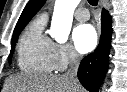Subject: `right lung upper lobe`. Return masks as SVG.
<instances>
[{
    "label": "right lung upper lobe",
    "instance_id": "obj_1",
    "mask_svg": "<svg viewBox=\"0 0 127 92\" xmlns=\"http://www.w3.org/2000/svg\"><path fill=\"white\" fill-rule=\"evenodd\" d=\"M44 3L45 0H30L17 22L14 33L20 29H23Z\"/></svg>",
    "mask_w": 127,
    "mask_h": 92
}]
</instances>
